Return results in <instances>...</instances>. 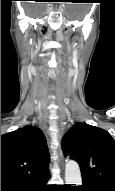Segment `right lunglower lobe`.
<instances>
[{
	"mask_svg": "<svg viewBox=\"0 0 115 191\" xmlns=\"http://www.w3.org/2000/svg\"><path fill=\"white\" fill-rule=\"evenodd\" d=\"M49 177L50 174L22 183H2L1 191H48L49 187L46 183Z\"/></svg>",
	"mask_w": 115,
	"mask_h": 191,
	"instance_id": "98d812e1",
	"label": "right lung lower lobe"
}]
</instances>
